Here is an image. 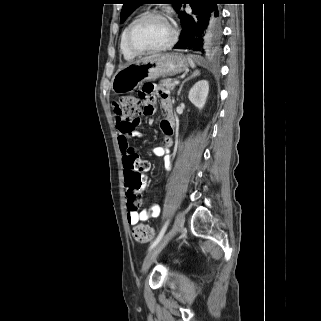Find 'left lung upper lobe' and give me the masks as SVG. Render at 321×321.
Listing matches in <instances>:
<instances>
[{"instance_id": "5c2ea615", "label": "left lung upper lobe", "mask_w": 321, "mask_h": 321, "mask_svg": "<svg viewBox=\"0 0 321 321\" xmlns=\"http://www.w3.org/2000/svg\"><path fill=\"white\" fill-rule=\"evenodd\" d=\"M153 0H123V7L120 14L121 22L123 23L127 17L141 4L150 3ZM176 12L179 11L183 0H169Z\"/></svg>"}]
</instances>
